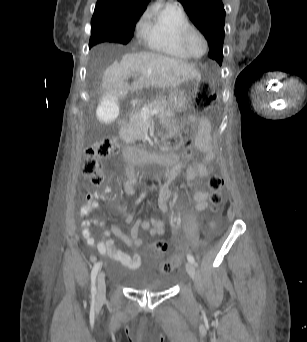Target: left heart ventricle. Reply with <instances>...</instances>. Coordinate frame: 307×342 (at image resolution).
Segmentation results:
<instances>
[{
	"label": "left heart ventricle",
	"mask_w": 307,
	"mask_h": 342,
	"mask_svg": "<svg viewBox=\"0 0 307 342\" xmlns=\"http://www.w3.org/2000/svg\"><path fill=\"white\" fill-rule=\"evenodd\" d=\"M187 47L190 53L195 57H199L203 54L204 42L198 31H195L190 34L187 40Z\"/></svg>",
	"instance_id": "obj_1"
}]
</instances>
